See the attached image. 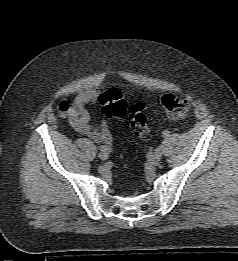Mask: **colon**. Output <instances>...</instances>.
Here are the masks:
<instances>
[{
  "instance_id": "obj_1",
  "label": "colon",
  "mask_w": 238,
  "mask_h": 261,
  "mask_svg": "<svg viewBox=\"0 0 238 261\" xmlns=\"http://www.w3.org/2000/svg\"><path fill=\"white\" fill-rule=\"evenodd\" d=\"M159 102L166 114L172 119H183L189 110V102L173 94L161 96ZM99 103L102 112L108 118H121L128 115L131 130L137 137L148 139L151 136L142 103L128 105L121 92L117 89L103 92L99 97Z\"/></svg>"
}]
</instances>
